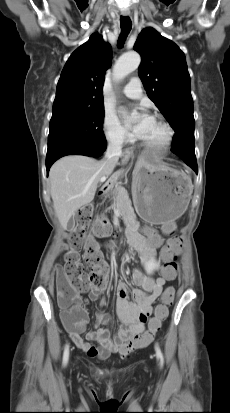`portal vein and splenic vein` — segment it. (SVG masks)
Wrapping results in <instances>:
<instances>
[{
	"label": "portal vein and splenic vein",
	"mask_w": 230,
	"mask_h": 413,
	"mask_svg": "<svg viewBox=\"0 0 230 413\" xmlns=\"http://www.w3.org/2000/svg\"><path fill=\"white\" fill-rule=\"evenodd\" d=\"M106 179H107V177H106V176H103V177L100 178V182H105Z\"/></svg>",
	"instance_id": "1"
}]
</instances>
